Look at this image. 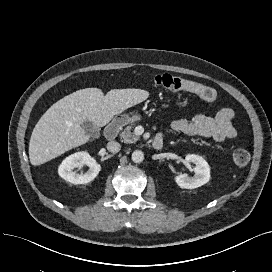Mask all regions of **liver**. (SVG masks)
<instances>
[{
    "label": "liver",
    "instance_id": "1",
    "mask_svg": "<svg viewBox=\"0 0 272 272\" xmlns=\"http://www.w3.org/2000/svg\"><path fill=\"white\" fill-rule=\"evenodd\" d=\"M142 89H113L106 95L98 88H85L53 104L35 125L29 142L32 165L44 164L90 140L82 128L85 120L97 127L108 124L115 115L145 101Z\"/></svg>",
    "mask_w": 272,
    "mask_h": 272
}]
</instances>
